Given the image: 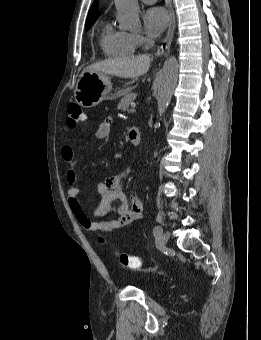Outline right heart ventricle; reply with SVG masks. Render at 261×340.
<instances>
[{"instance_id": "1", "label": "right heart ventricle", "mask_w": 261, "mask_h": 340, "mask_svg": "<svg viewBox=\"0 0 261 340\" xmlns=\"http://www.w3.org/2000/svg\"><path fill=\"white\" fill-rule=\"evenodd\" d=\"M100 46L103 53L109 57H127L134 54L138 43L133 34L106 23L101 32Z\"/></svg>"}]
</instances>
